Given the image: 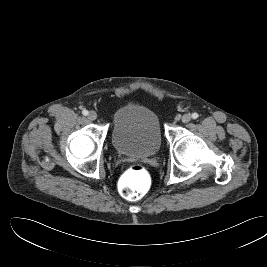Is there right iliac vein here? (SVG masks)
<instances>
[{
    "label": "right iliac vein",
    "mask_w": 267,
    "mask_h": 267,
    "mask_svg": "<svg viewBox=\"0 0 267 267\" xmlns=\"http://www.w3.org/2000/svg\"><path fill=\"white\" fill-rule=\"evenodd\" d=\"M88 118L92 121L97 119V113L95 111H90L88 114Z\"/></svg>",
    "instance_id": "obj_1"
}]
</instances>
